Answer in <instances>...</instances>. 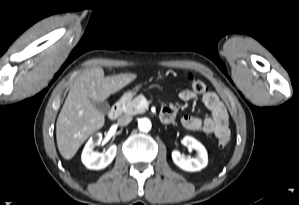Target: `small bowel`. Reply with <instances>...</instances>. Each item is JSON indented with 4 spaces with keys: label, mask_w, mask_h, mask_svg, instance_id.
Returning a JSON list of instances; mask_svg holds the SVG:
<instances>
[{
    "label": "small bowel",
    "mask_w": 299,
    "mask_h": 205,
    "mask_svg": "<svg viewBox=\"0 0 299 205\" xmlns=\"http://www.w3.org/2000/svg\"><path fill=\"white\" fill-rule=\"evenodd\" d=\"M179 98L183 101H191L196 98V93L189 89L179 93ZM201 100L210 112V116L199 118L192 115H185L181 119L183 127L190 131H203L212 134L217 138L230 134L228 113L218 96L210 91L203 93ZM162 112L168 113L171 120L174 118L176 108L172 104L166 105Z\"/></svg>",
    "instance_id": "small-bowel-1"
}]
</instances>
